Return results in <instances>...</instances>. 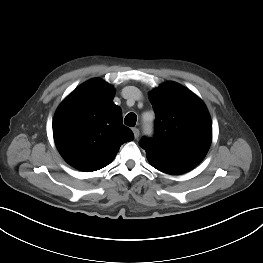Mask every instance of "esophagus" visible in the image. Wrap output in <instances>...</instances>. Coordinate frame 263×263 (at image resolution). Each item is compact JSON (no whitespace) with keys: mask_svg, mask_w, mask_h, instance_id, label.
I'll list each match as a JSON object with an SVG mask.
<instances>
[{"mask_svg":"<svg viewBox=\"0 0 263 263\" xmlns=\"http://www.w3.org/2000/svg\"><path fill=\"white\" fill-rule=\"evenodd\" d=\"M132 131H133L135 139H137L139 137V135H140L139 129L138 128H133Z\"/></svg>","mask_w":263,"mask_h":263,"instance_id":"esophagus-1","label":"esophagus"}]
</instances>
